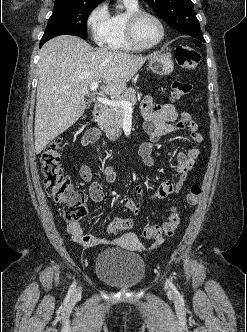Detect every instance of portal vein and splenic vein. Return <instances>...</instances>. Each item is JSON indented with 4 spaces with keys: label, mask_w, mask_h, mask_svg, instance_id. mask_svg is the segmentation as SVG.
<instances>
[{
    "label": "portal vein and splenic vein",
    "mask_w": 247,
    "mask_h": 332,
    "mask_svg": "<svg viewBox=\"0 0 247 332\" xmlns=\"http://www.w3.org/2000/svg\"><path fill=\"white\" fill-rule=\"evenodd\" d=\"M99 83L98 82H93L90 86V90L91 91H95L98 88ZM97 101L107 105V106H112V107H120L123 110H132V103L124 101V100H109L107 98L104 97H97Z\"/></svg>",
    "instance_id": "portal-vein-and-splenic-vein-1"
}]
</instances>
